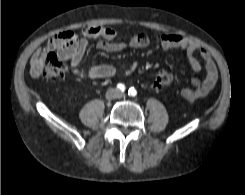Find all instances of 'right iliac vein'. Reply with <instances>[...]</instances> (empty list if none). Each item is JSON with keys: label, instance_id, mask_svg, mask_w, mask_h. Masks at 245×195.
Here are the masks:
<instances>
[{"label": "right iliac vein", "instance_id": "right-iliac-vein-1", "mask_svg": "<svg viewBox=\"0 0 245 195\" xmlns=\"http://www.w3.org/2000/svg\"><path fill=\"white\" fill-rule=\"evenodd\" d=\"M118 95V92L115 89H110L106 92V98L107 99H114Z\"/></svg>", "mask_w": 245, "mask_h": 195}]
</instances>
